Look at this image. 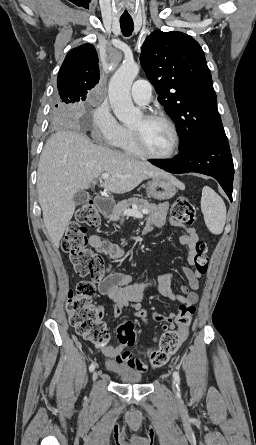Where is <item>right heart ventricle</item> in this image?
Wrapping results in <instances>:
<instances>
[{"instance_id": "1", "label": "right heart ventricle", "mask_w": 256, "mask_h": 445, "mask_svg": "<svg viewBox=\"0 0 256 445\" xmlns=\"http://www.w3.org/2000/svg\"><path fill=\"white\" fill-rule=\"evenodd\" d=\"M115 145L118 146L126 154H129L132 156L140 155V153L138 152V150L136 149V147L134 145V142H133V139H132L129 129L124 128V133H123L122 137L120 138L118 143Z\"/></svg>"}]
</instances>
